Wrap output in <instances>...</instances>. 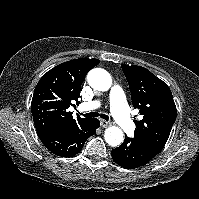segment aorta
<instances>
[{
  "label": "aorta",
  "mask_w": 199,
  "mask_h": 199,
  "mask_svg": "<svg viewBox=\"0 0 199 199\" xmlns=\"http://www.w3.org/2000/svg\"><path fill=\"white\" fill-rule=\"evenodd\" d=\"M89 85L98 91H107L112 85L110 74L101 68L92 69L87 75ZM123 132L117 126L108 127L105 130V141L113 147L120 145L123 141Z\"/></svg>",
  "instance_id": "1"
}]
</instances>
